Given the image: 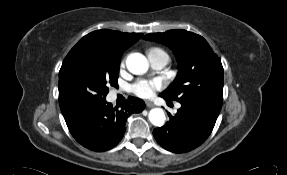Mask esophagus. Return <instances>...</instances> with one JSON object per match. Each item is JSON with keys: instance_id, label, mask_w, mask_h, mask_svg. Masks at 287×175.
I'll list each match as a JSON object with an SVG mask.
<instances>
[{"instance_id": "esophagus-1", "label": "esophagus", "mask_w": 287, "mask_h": 175, "mask_svg": "<svg viewBox=\"0 0 287 175\" xmlns=\"http://www.w3.org/2000/svg\"><path fill=\"white\" fill-rule=\"evenodd\" d=\"M145 104H146V106H147L148 108H152V107L155 106V105H154L152 102H150V101H146Z\"/></svg>"}]
</instances>
